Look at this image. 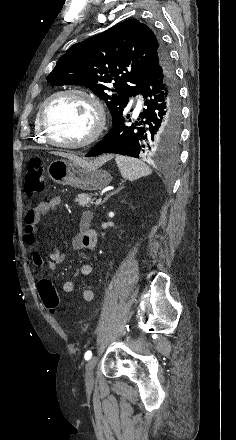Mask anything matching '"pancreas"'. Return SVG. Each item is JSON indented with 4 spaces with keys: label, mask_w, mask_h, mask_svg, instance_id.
<instances>
[{
    "label": "pancreas",
    "mask_w": 236,
    "mask_h": 440,
    "mask_svg": "<svg viewBox=\"0 0 236 440\" xmlns=\"http://www.w3.org/2000/svg\"><path fill=\"white\" fill-rule=\"evenodd\" d=\"M75 201L78 203V205L87 208L94 203V200L92 199V194H84V193L79 194Z\"/></svg>",
    "instance_id": "obj_1"
}]
</instances>
